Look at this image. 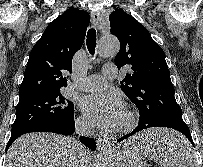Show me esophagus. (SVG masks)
Masks as SVG:
<instances>
[{
  "label": "esophagus",
  "instance_id": "esophagus-1",
  "mask_svg": "<svg viewBox=\"0 0 203 167\" xmlns=\"http://www.w3.org/2000/svg\"><path fill=\"white\" fill-rule=\"evenodd\" d=\"M91 18L93 21V24L99 28L100 25V13L93 11L91 12ZM112 146V141L111 138H109L108 136H99L97 139V147L98 150L104 151L109 149Z\"/></svg>",
  "mask_w": 203,
  "mask_h": 167
}]
</instances>
